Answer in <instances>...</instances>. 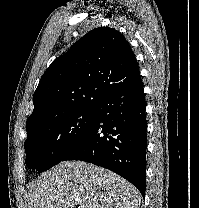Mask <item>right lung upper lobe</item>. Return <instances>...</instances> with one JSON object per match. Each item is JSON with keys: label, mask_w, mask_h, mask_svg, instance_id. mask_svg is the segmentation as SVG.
I'll return each instance as SVG.
<instances>
[{"label": "right lung upper lobe", "mask_w": 199, "mask_h": 208, "mask_svg": "<svg viewBox=\"0 0 199 208\" xmlns=\"http://www.w3.org/2000/svg\"><path fill=\"white\" fill-rule=\"evenodd\" d=\"M139 77L135 55L124 36L113 28H96L42 75L33 95V113L26 121L27 133L61 114L95 107Z\"/></svg>", "instance_id": "cb5924a9"}]
</instances>
